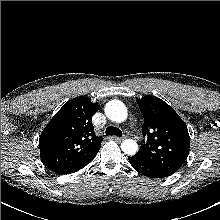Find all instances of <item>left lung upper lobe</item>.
I'll list each match as a JSON object with an SVG mask.
<instances>
[{"mask_svg":"<svg viewBox=\"0 0 220 220\" xmlns=\"http://www.w3.org/2000/svg\"><path fill=\"white\" fill-rule=\"evenodd\" d=\"M147 136L137 155L168 172H176L186 161L190 137L184 121L166 102L155 96L137 99Z\"/></svg>","mask_w":220,"mask_h":220,"instance_id":"left-lung-upper-lobe-1","label":"left lung upper lobe"}]
</instances>
